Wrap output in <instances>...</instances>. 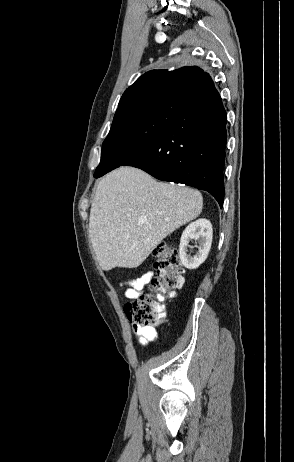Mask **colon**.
<instances>
[{
  "label": "colon",
  "mask_w": 294,
  "mask_h": 462,
  "mask_svg": "<svg viewBox=\"0 0 294 462\" xmlns=\"http://www.w3.org/2000/svg\"><path fill=\"white\" fill-rule=\"evenodd\" d=\"M156 276L149 282V291L125 305L134 324L149 326L162 322L166 316L165 296H173L184 282L178 250L169 243H161L153 251Z\"/></svg>",
  "instance_id": "obj_1"
}]
</instances>
